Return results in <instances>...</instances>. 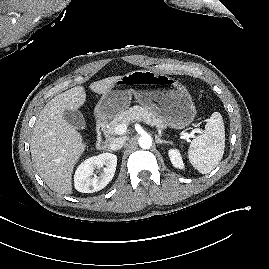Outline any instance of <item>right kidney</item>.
I'll return each mask as SVG.
<instances>
[{
    "label": "right kidney",
    "mask_w": 269,
    "mask_h": 269,
    "mask_svg": "<svg viewBox=\"0 0 269 269\" xmlns=\"http://www.w3.org/2000/svg\"><path fill=\"white\" fill-rule=\"evenodd\" d=\"M104 166L100 176L94 175L95 168ZM117 166V156L111 153H103L93 156L82 162L74 175V183L77 191L93 193L103 189L112 180Z\"/></svg>",
    "instance_id": "1"
}]
</instances>
